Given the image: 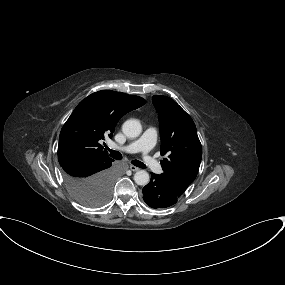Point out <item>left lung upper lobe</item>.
<instances>
[{
    "mask_svg": "<svg viewBox=\"0 0 285 285\" xmlns=\"http://www.w3.org/2000/svg\"><path fill=\"white\" fill-rule=\"evenodd\" d=\"M159 116L163 173L180 192L194 181L199 170L202 147L192 118L171 98L154 95Z\"/></svg>",
    "mask_w": 285,
    "mask_h": 285,
    "instance_id": "5c2ea615",
    "label": "left lung upper lobe"
}]
</instances>
